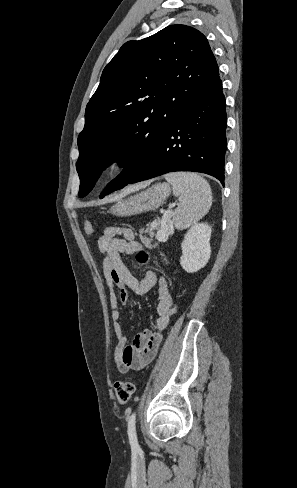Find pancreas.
I'll use <instances>...</instances> for the list:
<instances>
[{
    "instance_id": "cf45deb5",
    "label": "pancreas",
    "mask_w": 297,
    "mask_h": 488,
    "mask_svg": "<svg viewBox=\"0 0 297 488\" xmlns=\"http://www.w3.org/2000/svg\"><path fill=\"white\" fill-rule=\"evenodd\" d=\"M157 223H158L159 225H160V224H162V220H161V219H158V220H157ZM167 225H168V226H170V225H171V221H170V219L168 220ZM145 232H148V229H147V230H145Z\"/></svg>"
}]
</instances>
